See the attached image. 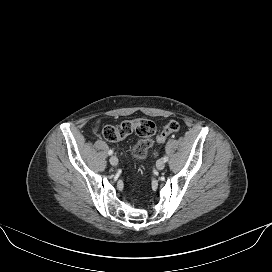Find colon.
I'll use <instances>...</instances> for the list:
<instances>
[{
	"label": "colon",
	"instance_id": "1",
	"mask_svg": "<svg viewBox=\"0 0 272 272\" xmlns=\"http://www.w3.org/2000/svg\"><path fill=\"white\" fill-rule=\"evenodd\" d=\"M179 129V122L170 120L156 136V140L164 142L169 135L177 132ZM132 133L140 137L133 148V155L137 158H144L153 145V136L156 133V126L151 120L145 118L125 120L116 126L106 125L102 131L103 137L109 142H119Z\"/></svg>",
	"mask_w": 272,
	"mask_h": 272
}]
</instances>
